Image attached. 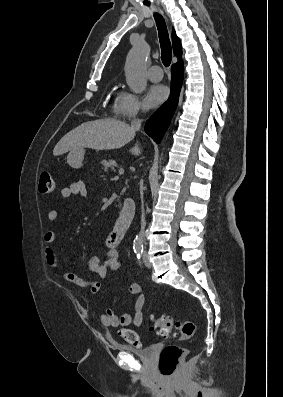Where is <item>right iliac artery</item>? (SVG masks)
Masks as SVG:
<instances>
[{
	"mask_svg": "<svg viewBox=\"0 0 283 397\" xmlns=\"http://www.w3.org/2000/svg\"><path fill=\"white\" fill-rule=\"evenodd\" d=\"M135 253H136L137 259L139 260V264L141 265L142 263H141L140 259H141L142 254H143V250H137V251H135Z\"/></svg>",
	"mask_w": 283,
	"mask_h": 397,
	"instance_id": "1",
	"label": "right iliac artery"
}]
</instances>
